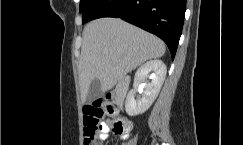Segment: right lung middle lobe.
<instances>
[{"label":"right lung middle lobe","mask_w":243,"mask_h":145,"mask_svg":"<svg viewBox=\"0 0 243 145\" xmlns=\"http://www.w3.org/2000/svg\"><path fill=\"white\" fill-rule=\"evenodd\" d=\"M92 2H93V0H81L80 1V13H83Z\"/></svg>","instance_id":"1"}]
</instances>
